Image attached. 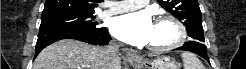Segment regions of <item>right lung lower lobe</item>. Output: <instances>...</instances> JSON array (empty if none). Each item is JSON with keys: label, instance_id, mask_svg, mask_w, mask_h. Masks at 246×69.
Listing matches in <instances>:
<instances>
[{"label": "right lung lower lobe", "instance_id": "98d812e1", "mask_svg": "<svg viewBox=\"0 0 246 69\" xmlns=\"http://www.w3.org/2000/svg\"><path fill=\"white\" fill-rule=\"evenodd\" d=\"M62 39H76L93 45H106L111 40L105 27L85 30L69 27L40 28L36 43V56L48 45Z\"/></svg>", "mask_w": 246, "mask_h": 69}]
</instances>
